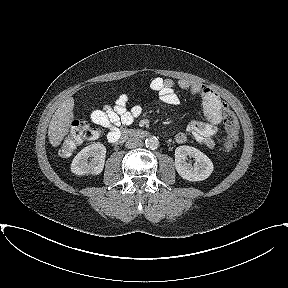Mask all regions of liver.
Segmentation results:
<instances>
[{
	"instance_id": "1",
	"label": "liver",
	"mask_w": 288,
	"mask_h": 288,
	"mask_svg": "<svg viewBox=\"0 0 288 288\" xmlns=\"http://www.w3.org/2000/svg\"><path fill=\"white\" fill-rule=\"evenodd\" d=\"M73 108L74 100L69 97L60 104L52 116L48 128V138L52 146H59L64 137L68 134L74 119Z\"/></svg>"
}]
</instances>
